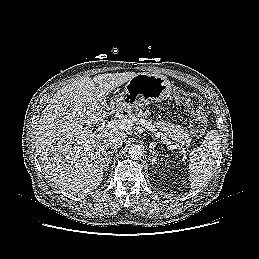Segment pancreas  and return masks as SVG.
<instances>
[{
	"label": "pancreas",
	"instance_id": "cf45deb5",
	"mask_svg": "<svg viewBox=\"0 0 259 259\" xmlns=\"http://www.w3.org/2000/svg\"><path fill=\"white\" fill-rule=\"evenodd\" d=\"M127 116L133 122H141L142 120H146V121L149 120L150 123L152 122V120L148 116L147 111H142V110L135 111L133 113H129ZM152 126L156 127L161 134H164L165 136L183 145L188 146L192 141L188 131H185L184 128L180 125H174L169 121L159 119V120L153 121Z\"/></svg>",
	"mask_w": 259,
	"mask_h": 259
}]
</instances>
